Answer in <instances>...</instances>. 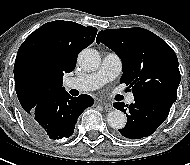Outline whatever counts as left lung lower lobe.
I'll return each instance as SVG.
<instances>
[{
    "mask_svg": "<svg viewBox=\"0 0 190 165\" xmlns=\"http://www.w3.org/2000/svg\"><path fill=\"white\" fill-rule=\"evenodd\" d=\"M134 101L133 104L126 106L122 102L113 104L116 109L126 113V126L119 129V132L129 139L151 135L167 118L173 104L170 100L156 97L134 98Z\"/></svg>",
    "mask_w": 190,
    "mask_h": 165,
    "instance_id": "1",
    "label": "left lung lower lobe"
}]
</instances>
